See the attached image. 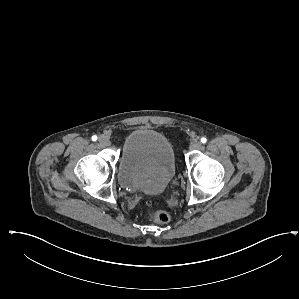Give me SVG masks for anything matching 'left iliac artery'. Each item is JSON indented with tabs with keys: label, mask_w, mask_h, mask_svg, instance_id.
<instances>
[{
	"label": "left iliac artery",
	"mask_w": 299,
	"mask_h": 299,
	"mask_svg": "<svg viewBox=\"0 0 299 299\" xmlns=\"http://www.w3.org/2000/svg\"><path fill=\"white\" fill-rule=\"evenodd\" d=\"M201 142L204 144V143L207 142V139H206L205 137H202V138H201Z\"/></svg>",
	"instance_id": "44dca946"
}]
</instances>
